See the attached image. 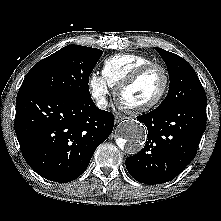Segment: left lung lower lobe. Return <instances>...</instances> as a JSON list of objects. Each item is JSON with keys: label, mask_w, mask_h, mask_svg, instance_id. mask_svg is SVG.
I'll list each match as a JSON object with an SVG mask.
<instances>
[{"label": "left lung lower lobe", "mask_w": 221, "mask_h": 221, "mask_svg": "<svg viewBox=\"0 0 221 221\" xmlns=\"http://www.w3.org/2000/svg\"><path fill=\"white\" fill-rule=\"evenodd\" d=\"M137 119L146 125L148 141L126 159V168L138 182L161 184L174 179L196 156L206 129V102L158 106Z\"/></svg>", "instance_id": "0a47b994"}]
</instances>
